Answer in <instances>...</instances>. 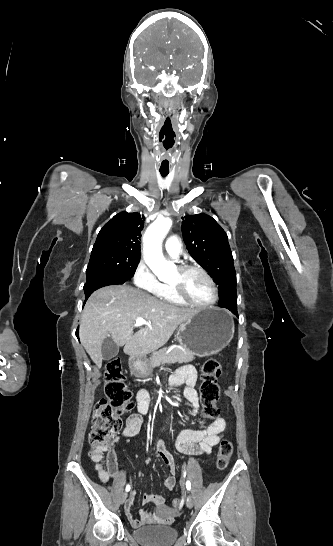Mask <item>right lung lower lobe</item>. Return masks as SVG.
Returning a JSON list of instances; mask_svg holds the SVG:
<instances>
[{
    "mask_svg": "<svg viewBox=\"0 0 333 546\" xmlns=\"http://www.w3.org/2000/svg\"><path fill=\"white\" fill-rule=\"evenodd\" d=\"M126 281L127 280L106 274H92L87 276V281L84 285L85 302L95 290L108 285L123 284Z\"/></svg>",
    "mask_w": 333,
    "mask_h": 546,
    "instance_id": "1",
    "label": "right lung lower lobe"
}]
</instances>
